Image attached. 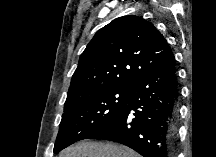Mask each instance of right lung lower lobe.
Returning a JSON list of instances; mask_svg holds the SVG:
<instances>
[{"instance_id":"right-lung-lower-lobe-1","label":"right lung lower lobe","mask_w":216,"mask_h":157,"mask_svg":"<svg viewBox=\"0 0 216 157\" xmlns=\"http://www.w3.org/2000/svg\"><path fill=\"white\" fill-rule=\"evenodd\" d=\"M178 97L172 55L132 85L126 106L89 139L115 141L143 157H173L177 142Z\"/></svg>"}]
</instances>
